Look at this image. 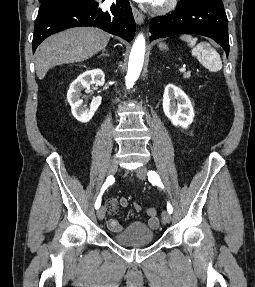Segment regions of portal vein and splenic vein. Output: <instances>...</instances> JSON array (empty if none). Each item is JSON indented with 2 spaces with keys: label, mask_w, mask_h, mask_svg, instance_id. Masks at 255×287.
Segmentation results:
<instances>
[{
  "label": "portal vein and splenic vein",
  "mask_w": 255,
  "mask_h": 287,
  "mask_svg": "<svg viewBox=\"0 0 255 287\" xmlns=\"http://www.w3.org/2000/svg\"><path fill=\"white\" fill-rule=\"evenodd\" d=\"M179 72H186L185 66H183V68H180Z\"/></svg>",
  "instance_id": "portal-vein-and-splenic-vein-1"
}]
</instances>
